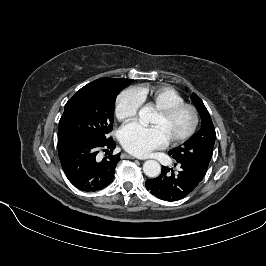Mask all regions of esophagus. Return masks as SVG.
Returning a JSON list of instances; mask_svg holds the SVG:
<instances>
[{
	"label": "esophagus",
	"mask_w": 266,
	"mask_h": 266,
	"mask_svg": "<svg viewBox=\"0 0 266 266\" xmlns=\"http://www.w3.org/2000/svg\"><path fill=\"white\" fill-rule=\"evenodd\" d=\"M123 158H128V159H136V157L129 155V154H122Z\"/></svg>",
	"instance_id": "34e87169"
}]
</instances>
